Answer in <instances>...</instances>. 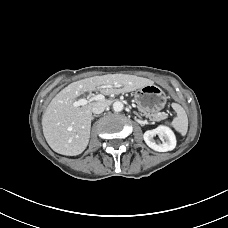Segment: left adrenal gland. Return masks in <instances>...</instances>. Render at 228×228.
I'll list each match as a JSON object with an SVG mask.
<instances>
[{
	"label": "left adrenal gland",
	"instance_id": "obj_1",
	"mask_svg": "<svg viewBox=\"0 0 228 228\" xmlns=\"http://www.w3.org/2000/svg\"><path fill=\"white\" fill-rule=\"evenodd\" d=\"M133 113H134L135 115L139 116V114H138L136 111H134Z\"/></svg>",
	"mask_w": 228,
	"mask_h": 228
}]
</instances>
